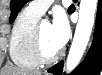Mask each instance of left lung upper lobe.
<instances>
[{
	"instance_id": "1",
	"label": "left lung upper lobe",
	"mask_w": 102,
	"mask_h": 75,
	"mask_svg": "<svg viewBox=\"0 0 102 75\" xmlns=\"http://www.w3.org/2000/svg\"><path fill=\"white\" fill-rule=\"evenodd\" d=\"M30 0H11L10 3V9H11V15H10V23H12L18 12L22 9V7L29 2ZM72 7H69L68 12L70 13Z\"/></svg>"
}]
</instances>
